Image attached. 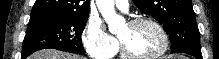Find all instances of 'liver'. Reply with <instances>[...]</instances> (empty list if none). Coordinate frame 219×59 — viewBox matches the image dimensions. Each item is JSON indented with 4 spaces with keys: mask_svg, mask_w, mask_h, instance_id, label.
<instances>
[{
    "mask_svg": "<svg viewBox=\"0 0 219 59\" xmlns=\"http://www.w3.org/2000/svg\"><path fill=\"white\" fill-rule=\"evenodd\" d=\"M29 59H83L77 55L57 50H40L32 54Z\"/></svg>",
    "mask_w": 219,
    "mask_h": 59,
    "instance_id": "1",
    "label": "liver"
}]
</instances>
